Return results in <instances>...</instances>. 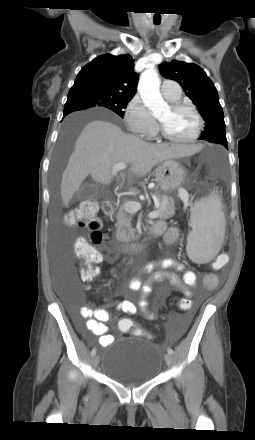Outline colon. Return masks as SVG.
Listing matches in <instances>:
<instances>
[{"label": "colon", "mask_w": 255, "mask_h": 440, "mask_svg": "<svg viewBox=\"0 0 255 440\" xmlns=\"http://www.w3.org/2000/svg\"><path fill=\"white\" fill-rule=\"evenodd\" d=\"M65 222L70 226L84 228L89 231L90 242L83 238L77 239L75 242V252L86 266L85 271L82 273V278L90 281L98 273L97 265L102 260L101 253L95 246L100 245L105 240V236L101 232V221L97 217V204L93 201L82 202L78 208L65 216ZM210 276L214 275H207L206 281L210 279ZM176 304L179 311H193L195 307L192 298H177ZM119 328L123 332L133 331L137 335L141 334V331L131 318L120 319Z\"/></svg>", "instance_id": "obj_1"}]
</instances>
